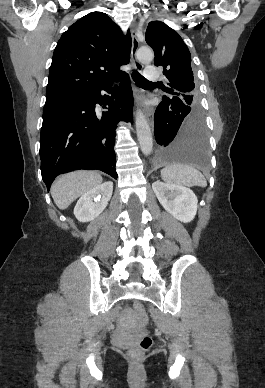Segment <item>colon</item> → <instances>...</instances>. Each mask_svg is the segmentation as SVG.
Instances as JSON below:
<instances>
[{"instance_id": "5ec220e1", "label": "colon", "mask_w": 265, "mask_h": 388, "mask_svg": "<svg viewBox=\"0 0 265 388\" xmlns=\"http://www.w3.org/2000/svg\"><path fill=\"white\" fill-rule=\"evenodd\" d=\"M134 311L141 325H147L148 315L142 301L138 300L134 303ZM152 345V339L149 336L142 337L137 345L131 349L132 355H138L142 351L148 350Z\"/></svg>"}]
</instances>
